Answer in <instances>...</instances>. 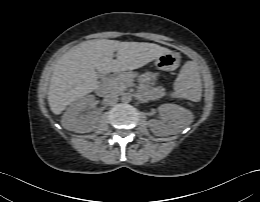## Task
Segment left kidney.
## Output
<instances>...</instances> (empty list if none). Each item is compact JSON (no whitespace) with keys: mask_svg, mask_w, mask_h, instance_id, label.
<instances>
[{"mask_svg":"<svg viewBox=\"0 0 260 202\" xmlns=\"http://www.w3.org/2000/svg\"><path fill=\"white\" fill-rule=\"evenodd\" d=\"M159 113L169 120L167 124L155 119L149 121V127L156 136L176 134L185 129L193 118L192 113L176 104H162L158 108Z\"/></svg>","mask_w":260,"mask_h":202,"instance_id":"5707ae66","label":"left kidney"}]
</instances>
